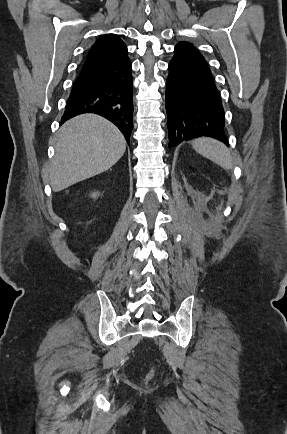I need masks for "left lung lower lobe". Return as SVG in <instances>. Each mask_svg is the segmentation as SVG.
Instances as JSON below:
<instances>
[{
  "instance_id": "0a47b994",
  "label": "left lung lower lobe",
  "mask_w": 287,
  "mask_h": 434,
  "mask_svg": "<svg viewBox=\"0 0 287 434\" xmlns=\"http://www.w3.org/2000/svg\"><path fill=\"white\" fill-rule=\"evenodd\" d=\"M166 112L169 148L201 136L228 145L221 96L204 58L175 53L166 82Z\"/></svg>"
}]
</instances>
